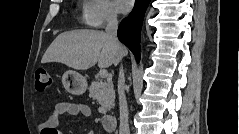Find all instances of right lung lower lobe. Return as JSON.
I'll use <instances>...</instances> for the list:
<instances>
[{"label": "right lung lower lobe", "mask_w": 239, "mask_h": 134, "mask_svg": "<svg viewBox=\"0 0 239 134\" xmlns=\"http://www.w3.org/2000/svg\"><path fill=\"white\" fill-rule=\"evenodd\" d=\"M150 0H135V6L129 16L122 20L118 28V38L140 61V31L145 11Z\"/></svg>", "instance_id": "right-lung-lower-lobe-1"}]
</instances>
